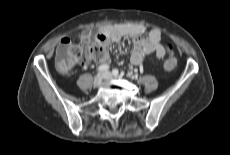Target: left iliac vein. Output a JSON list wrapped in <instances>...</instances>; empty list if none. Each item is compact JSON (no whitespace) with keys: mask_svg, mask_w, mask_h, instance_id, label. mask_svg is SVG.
I'll use <instances>...</instances> for the list:
<instances>
[{"mask_svg":"<svg viewBox=\"0 0 230 155\" xmlns=\"http://www.w3.org/2000/svg\"><path fill=\"white\" fill-rule=\"evenodd\" d=\"M113 77L112 73L111 72H105L104 73V78L105 79H111Z\"/></svg>","mask_w":230,"mask_h":155,"instance_id":"obj_1","label":"left iliac vein"}]
</instances>
